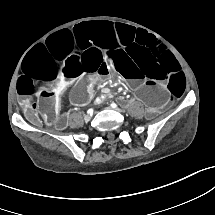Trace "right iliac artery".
Masks as SVG:
<instances>
[{
	"instance_id": "right-iliac-artery-1",
	"label": "right iliac artery",
	"mask_w": 215,
	"mask_h": 215,
	"mask_svg": "<svg viewBox=\"0 0 215 215\" xmlns=\"http://www.w3.org/2000/svg\"><path fill=\"white\" fill-rule=\"evenodd\" d=\"M92 112H93V109H89V110H88V113L91 114Z\"/></svg>"
}]
</instances>
